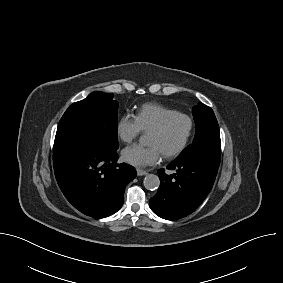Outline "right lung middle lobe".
Returning <instances> with one entry per match:
<instances>
[{"label": "right lung middle lobe", "instance_id": "right-lung-middle-lobe-1", "mask_svg": "<svg viewBox=\"0 0 283 283\" xmlns=\"http://www.w3.org/2000/svg\"><path fill=\"white\" fill-rule=\"evenodd\" d=\"M118 106L113 94L92 92L65 111L57 127L55 142L77 138L109 150L118 149Z\"/></svg>", "mask_w": 283, "mask_h": 283}]
</instances>
